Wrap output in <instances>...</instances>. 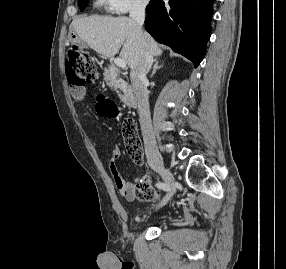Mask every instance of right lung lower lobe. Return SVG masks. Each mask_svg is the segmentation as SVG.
<instances>
[{"label":"right lung lower lobe","instance_id":"98d812e1","mask_svg":"<svg viewBox=\"0 0 286 269\" xmlns=\"http://www.w3.org/2000/svg\"><path fill=\"white\" fill-rule=\"evenodd\" d=\"M214 0H154L146 8L145 28L152 37L190 59L202 61L211 35Z\"/></svg>","mask_w":286,"mask_h":269}]
</instances>
